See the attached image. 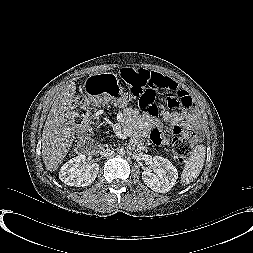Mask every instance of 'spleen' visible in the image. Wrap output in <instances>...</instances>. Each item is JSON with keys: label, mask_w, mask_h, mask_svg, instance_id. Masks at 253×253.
Here are the masks:
<instances>
[{"label": "spleen", "mask_w": 253, "mask_h": 253, "mask_svg": "<svg viewBox=\"0 0 253 253\" xmlns=\"http://www.w3.org/2000/svg\"><path fill=\"white\" fill-rule=\"evenodd\" d=\"M205 154V147L203 145H198L193 149L182 171V184H188L197 178L203 168Z\"/></svg>", "instance_id": "spleen-1"}]
</instances>
